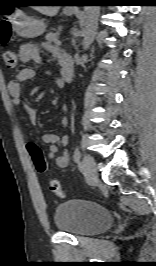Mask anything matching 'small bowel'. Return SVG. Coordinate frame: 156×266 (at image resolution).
Returning a JSON list of instances; mask_svg holds the SVG:
<instances>
[{"label": "small bowel", "instance_id": "c3829d8e", "mask_svg": "<svg viewBox=\"0 0 156 266\" xmlns=\"http://www.w3.org/2000/svg\"><path fill=\"white\" fill-rule=\"evenodd\" d=\"M60 60L67 57V55H59L55 53ZM18 55L22 62H41V56L39 49L36 45L32 43H24L20 45L18 49ZM36 75V72L32 68H24L17 75H15L8 85L9 93L12 97V102L15 106L23 108L28 116L30 121L35 124L36 123V111L29 107L24 100L23 92H22V83L32 79ZM56 83L61 85V81L57 80ZM69 124V119L67 116H64L61 120L62 127H67ZM41 141L49 144L48 149V158L54 159L56 165L59 168H65L69 164V154L66 150V146L69 143V136L64 134L62 136H58L56 134L47 133L42 135Z\"/></svg>", "mask_w": 156, "mask_h": 266}]
</instances>
